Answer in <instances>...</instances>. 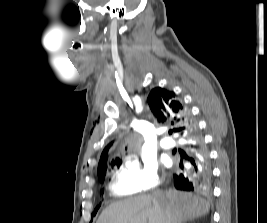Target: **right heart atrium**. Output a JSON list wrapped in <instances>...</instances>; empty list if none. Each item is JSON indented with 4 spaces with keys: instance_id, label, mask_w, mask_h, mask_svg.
<instances>
[{
    "instance_id": "1",
    "label": "right heart atrium",
    "mask_w": 267,
    "mask_h": 223,
    "mask_svg": "<svg viewBox=\"0 0 267 223\" xmlns=\"http://www.w3.org/2000/svg\"><path fill=\"white\" fill-rule=\"evenodd\" d=\"M158 184L159 175L154 164L128 160L116 171L111 190L117 195L143 194Z\"/></svg>"
}]
</instances>
